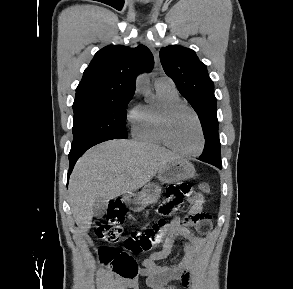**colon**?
Instances as JSON below:
<instances>
[{"mask_svg":"<svg viewBox=\"0 0 293 289\" xmlns=\"http://www.w3.org/2000/svg\"><path fill=\"white\" fill-rule=\"evenodd\" d=\"M199 189L203 193L210 192V186L207 183H200ZM190 190L191 187L187 183L169 185L166 189V201L160 206L159 214L169 215L175 212ZM125 214L126 211L122 204L110 205L106 217L95 222L96 236L108 243L118 242L122 234V221ZM164 228L165 222L158 220L126 237L123 241V251L111 247L103 248L99 253L100 259L111 264L115 273L133 278L137 274L138 268L131 254L152 249L159 242Z\"/></svg>","mask_w":293,"mask_h":289,"instance_id":"1","label":"colon"}]
</instances>
